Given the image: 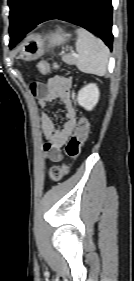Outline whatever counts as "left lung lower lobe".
<instances>
[{"label":"left lung lower lobe","mask_w":134,"mask_h":281,"mask_svg":"<svg viewBox=\"0 0 134 281\" xmlns=\"http://www.w3.org/2000/svg\"><path fill=\"white\" fill-rule=\"evenodd\" d=\"M51 19L65 20L86 28L98 35L112 50L111 0H46L28 32L36 25ZM24 36L17 34L15 41L18 43Z\"/></svg>","instance_id":"0a47b994"}]
</instances>
